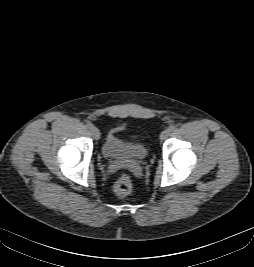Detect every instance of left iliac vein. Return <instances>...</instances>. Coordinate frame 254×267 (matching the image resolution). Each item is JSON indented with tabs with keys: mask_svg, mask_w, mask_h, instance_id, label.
I'll return each mask as SVG.
<instances>
[{
	"mask_svg": "<svg viewBox=\"0 0 254 267\" xmlns=\"http://www.w3.org/2000/svg\"><path fill=\"white\" fill-rule=\"evenodd\" d=\"M170 132L171 130L169 128L162 131L160 134V139L165 140L170 135Z\"/></svg>",
	"mask_w": 254,
	"mask_h": 267,
	"instance_id": "1",
	"label": "left iliac vein"
}]
</instances>
